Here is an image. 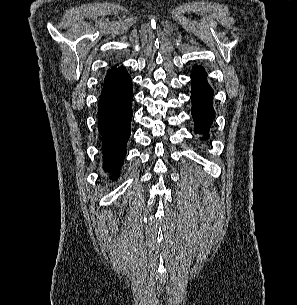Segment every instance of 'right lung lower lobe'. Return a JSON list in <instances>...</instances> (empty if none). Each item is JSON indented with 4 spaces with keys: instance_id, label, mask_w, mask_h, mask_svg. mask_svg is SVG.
<instances>
[{
    "instance_id": "1",
    "label": "right lung lower lobe",
    "mask_w": 297,
    "mask_h": 305,
    "mask_svg": "<svg viewBox=\"0 0 297 305\" xmlns=\"http://www.w3.org/2000/svg\"><path fill=\"white\" fill-rule=\"evenodd\" d=\"M132 99V79L125 68L121 66L109 72L98 105V130L102 139L103 166L113 179L118 177L131 133Z\"/></svg>"
}]
</instances>
